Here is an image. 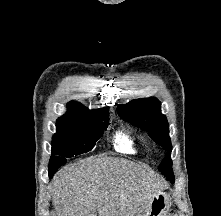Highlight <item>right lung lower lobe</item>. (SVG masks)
Returning <instances> with one entry per match:
<instances>
[{
    "label": "right lung lower lobe",
    "mask_w": 221,
    "mask_h": 216,
    "mask_svg": "<svg viewBox=\"0 0 221 216\" xmlns=\"http://www.w3.org/2000/svg\"><path fill=\"white\" fill-rule=\"evenodd\" d=\"M58 168L55 169V172L57 171ZM54 171V170H53ZM53 174H49V177L51 178Z\"/></svg>",
    "instance_id": "right-lung-lower-lobe-1"
}]
</instances>
